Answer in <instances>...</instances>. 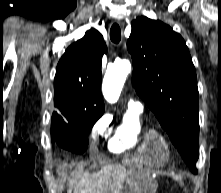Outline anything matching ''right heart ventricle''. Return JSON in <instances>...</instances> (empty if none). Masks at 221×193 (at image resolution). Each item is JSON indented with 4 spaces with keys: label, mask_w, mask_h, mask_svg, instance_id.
I'll return each mask as SVG.
<instances>
[{
    "label": "right heart ventricle",
    "mask_w": 221,
    "mask_h": 193,
    "mask_svg": "<svg viewBox=\"0 0 221 193\" xmlns=\"http://www.w3.org/2000/svg\"><path fill=\"white\" fill-rule=\"evenodd\" d=\"M144 124L140 112L128 109L113 132L108 148L113 153H126L136 149L142 140Z\"/></svg>",
    "instance_id": "e07e8e85"
}]
</instances>
